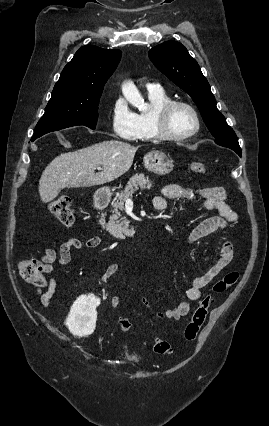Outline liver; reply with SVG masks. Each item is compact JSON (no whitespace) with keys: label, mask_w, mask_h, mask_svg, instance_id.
Here are the masks:
<instances>
[{"label":"liver","mask_w":269,"mask_h":426,"mask_svg":"<svg viewBox=\"0 0 269 426\" xmlns=\"http://www.w3.org/2000/svg\"><path fill=\"white\" fill-rule=\"evenodd\" d=\"M137 147L116 140L103 141L54 158L39 180L41 201L54 200L66 187H90L111 182L133 164ZM102 166V171L95 169Z\"/></svg>","instance_id":"6515ba94"}]
</instances>
